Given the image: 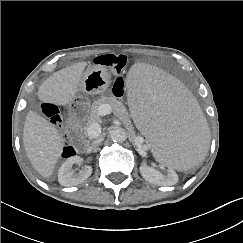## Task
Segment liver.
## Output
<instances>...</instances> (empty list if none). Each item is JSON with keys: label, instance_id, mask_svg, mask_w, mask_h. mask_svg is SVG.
I'll return each mask as SVG.
<instances>
[{"label": "liver", "instance_id": "obj_1", "mask_svg": "<svg viewBox=\"0 0 243 243\" xmlns=\"http://www.w3.org/2000/svg\"><path fill=\"white\" fill-rule=\"evenodd\" d=\"M86 65L87 62H79L52 74L40 85L39 99L58 106L70 104L78 93ZM23 144L34 169L44 178L51 177L64 147L56 127L29 111L24 123Z\"/></svg>", "mask_w": 243, "mask_h": 243}]
</instances>
